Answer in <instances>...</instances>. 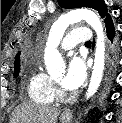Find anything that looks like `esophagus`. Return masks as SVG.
Returning <instances> with one entry per match:
<instances>
[{"label":"esophagus","mask_w":122,"mask_h":123,"mask_svg":"<svg viewBox=\"0 0 122 123\" xmlns=\"http://www.w3.org/2000/svg\"><path fill=\"white\" fill-rule=\"evenodd\" d=\"M63 115L68 116V115H70V112H69V111H64V112H63Z\"/></svg>","instance_id":"esophagus-1"}]
</instances>
